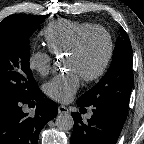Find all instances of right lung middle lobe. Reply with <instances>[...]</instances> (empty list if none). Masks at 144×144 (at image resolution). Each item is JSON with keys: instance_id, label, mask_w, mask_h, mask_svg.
<instances>
[{"instance_id": "obj_1", "label": "right lung middle lobe", "mask_w": 144, "mask_h": 144, "mask_svg": "<svg viewBox=\"0 0 144 144\" xmlns=\"http://www.w3.org/2000/svg\"><path fill=\"white\" fill-rule=\"evenodd\" d=\"M47 15H10L0 23V106L31 98L40 89L29 67V38Z\"/></svg>"}]
</instances>
